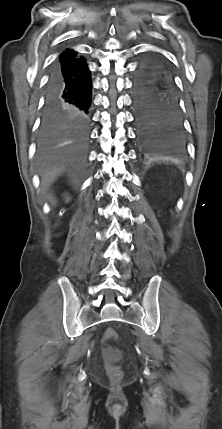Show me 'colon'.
Wrapping results in <instances>:
<instances>
[{"mask_svg":"<svg viewBox=\"0 0 222 429\" xmlns=\"http://www.w3.org/2000/svg\"><path fill=\"white\" fill-rule=\"evenodd\" d=\"M116 338H117V334L112 329L106 330L103 335V341L106 344L116 340ZM108 349L111 354L115 353L114 349L112 348H108ZM107 374L113 382H119L123 378V371L121 370V368L118 365H115L112 363L107 364Z\"/></svg>","mask_w":222,"mask_h":429,"instance_id":"5ec220e1","label":"colon"}]
</instances>
